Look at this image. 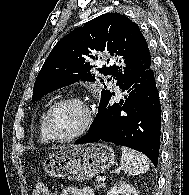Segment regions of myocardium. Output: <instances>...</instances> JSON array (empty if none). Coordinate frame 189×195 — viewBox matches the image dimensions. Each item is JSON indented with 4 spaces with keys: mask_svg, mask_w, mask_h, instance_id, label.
<instances>
[{
    "mask_svg": "<svg viewBox=\"0 0 189 195\" xmlns=\"http://www.w3.org/2000/svg\"><path fill=\"white\" fill-rule=\"evenodd\" d=\"M65 104H77L79 106H81L85 112H86V120L84 122V125L82 126V128L69 136L66 137H60L54 134L52 127H51V118L54 114V112L61 107L62 105ZM94 112L93 109L90 105L89 102H87L86 100H84L81 97H67V98H63L61 100H58L57 102H55L46 112L45 118H44V128L45 131L49 137L50 140L55 141V142H70L73 141L77 138L82 137L83 135H85L89 129L91 128L93 121H94Z\"/></svg>",
    "mask_w": 189,
    "mask_h": 195,
    "instance_id": "myocardium-1",
    "label": "myocardium"
}]
</instances>
